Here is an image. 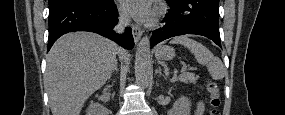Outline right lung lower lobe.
Returning a JSON list of instances; mask_svg holds the SVG:
<instances>
[{
    "label": "right lung lower lobe",
    "instance_id": "1",
    "mask_svg": "<svg viewBox=\"0 0 285 115\" xmlns=\"http://www.w3.org/2000/svg\"><path fill=\"white\" fill-rule=\"evenodd\" d=\"M113 0L101 4L85 0H63L49 7L48 51L63 34L71 31H90L107 37L129 50L134 47L131 28L123 35L113 31L118 22Z\"/></svg>",
    "mask_w": 285,
    "mask_h": 115
}]
</instances>
